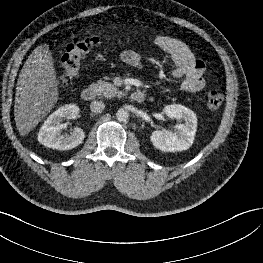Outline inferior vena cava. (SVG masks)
Masks as SVG:
<instances>
[{
    "label": "inferior vena cava",
    "instance_id": "602c4592",
    "mask_svg": "<svg viewBox=\"0 0 263 263\" xmlns=\"http://www.w3.org/2000/svg\"><path fill=\"white\" fill-rule=\"evenodd\" d=\"M90 109L94 113H101L105 109V104L102 101H93L90 105Z\"/></svg>",
    "mask_w": 263,
    "mask_h": 263
}]
</instances>
